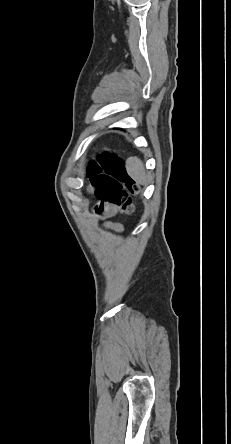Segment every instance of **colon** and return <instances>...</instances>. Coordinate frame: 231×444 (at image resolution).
<instances>
[{
  "instance_id": "1",
  "label": "colon",
  "mask_w": 231,
  "mask_h": 444,
  "mask_svg": "<svg viewBox=\"0 0 231 444\" xmlns=\"http://www.w3.org/2000/svg\"><path fill=\"white\" fill-rule=\"evenodd\" d=\"M87 177L94 185L102 186L101 201L122 207L132 212V195L139 187L128 175L124 161L114 152L103 151L97 154L87 166Z\"/></svg>"
}]
</instances>
